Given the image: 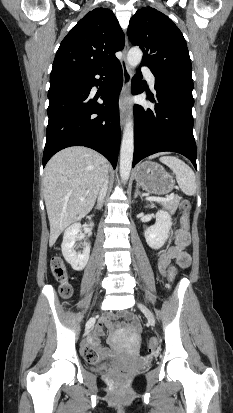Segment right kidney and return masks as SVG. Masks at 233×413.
Wrapping results in <instances>:
<instances>
[{"instance_id":"1","label":"right kidney","mask_w":233,"mask_h":413,"mask_svg":"<svg viewBox=\"0 0 233 413\" xmlns=\"http://www.w3.org/2000/svg\"><path fill=\"white\" fill-rule=\"evenodd\" d=\"M90 226H93V222H90ZM81 228L82 226L79 222L69 226L64 232L61 245L65 260L76 271H81L85 268L90 255V245H86L82 253H77L74 249Z\"/></svg>"}]
</instances>
